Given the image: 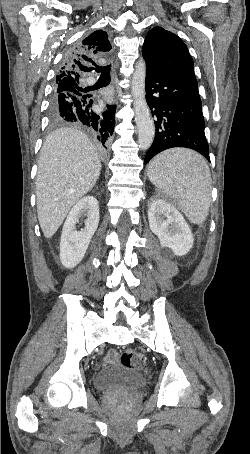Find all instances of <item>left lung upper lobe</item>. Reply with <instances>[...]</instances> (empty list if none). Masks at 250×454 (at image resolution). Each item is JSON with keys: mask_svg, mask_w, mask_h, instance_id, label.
<instances>
[{"mask_svg": "<svg viewBox=\"0 0 250 454\" xmlns=\"http://www.w3.org/2000/svg\"><path fill=\"white\" fill-rule=\"evenodd\" d=\"M146 64L175 75L195 77L192 57L175 34L161 27L150 30L143 44Z\"/></svg>", "mask_w": 250, "mask_h": 454, "instance_id": "1", "label": "left lung upper lobe"}]
</instances>
